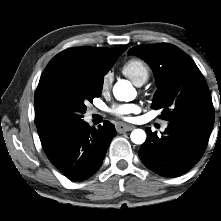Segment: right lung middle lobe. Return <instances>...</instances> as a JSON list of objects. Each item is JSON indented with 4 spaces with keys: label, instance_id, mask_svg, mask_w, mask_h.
Here are the masks:
<instances>
[{
    "label": "right lung middle lobe",
    "instance_id": "right-lung-middle-lobe-1",
    "mask_svg": "<svg viewBox=\"0 0 221 221\" xmlns=\"http://www.w3.org/2000/svg\"><path fill=\"white\" fill-rule=\"evenodd\" d=\"M106 68L77 65L41 78L35 94L37 128L47 136H60L82 121L85 103L102 92Z\"/></svg>",
    "mask_w": 221,
    "mask_h": 221
}]
</instances>
